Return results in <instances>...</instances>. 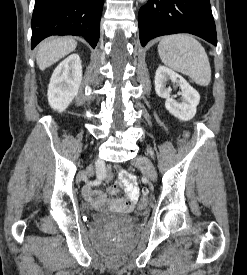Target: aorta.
I'll use <instances>...</instances> for the list:
<instances>
[{"label":"aorta","instance_id":"obj_1","mask_svg":"<svg viewBox=\"0 0 247 275\" xmlns=\"http://www.w3.org/2000/svg\"><path fill=\"white\" fill-rule=\"evenodd\" d=\"M140 2H145L146 0H139Z\"/></svg>","mask_w":247,"mask_h":275}]
</instances>
